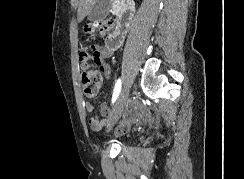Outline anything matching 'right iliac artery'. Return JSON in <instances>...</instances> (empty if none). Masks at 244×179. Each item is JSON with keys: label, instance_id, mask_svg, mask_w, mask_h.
Returning <instances> with one entry per match:
<instances>
[{"label": "right iliac artery", "instance_id": "right-iliac-artery-1", "mask_svg": "<svg viewBox=\"0 0 244 179\" xmlns=\"http://www.w3.org/2000/svg\"><path fill=\"white\" fill-rule=\"evenodd\" d=\"M120 91H121V79H118L116 84H115L113 97H112V103H114L116 101V99L119 96Z\"/></svg>", "mask_w": 244, "mask_h": 179}]
</instances>
